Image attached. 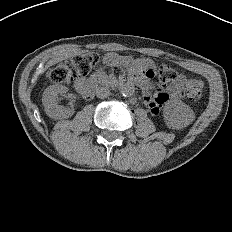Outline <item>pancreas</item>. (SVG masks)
<instances>
[{"mask_svg":"<svg viewBox=\"0 0 232 232\" xmlns=\"http://www.w3.org/2000/svg\"><path fill=\"white\" fill-rule=\"evenodd\" d=\"M103 79H107V78H106V76H105V77H103Z\"/></svg>","mask_w":232,"mask_h":232,"instance_id":"1","label":"pancreas"}]
</instances>
